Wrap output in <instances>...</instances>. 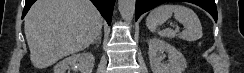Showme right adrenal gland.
<instances>
[{"instance_id":"obj_1","label":"right adrenal gland","mask_w":244,"mask_h":73,"mask_svg":"<svg viewBox=\"0 0 244 73\" xmlns=\"http://www.w3.org/2000/svg\"><path fill=\"white\" fill-rule=\"evenodd\" d=\"M100 43H101V34L95 39V41L92 44H96L98 47Z\"/></svg>"}]
</instances>
